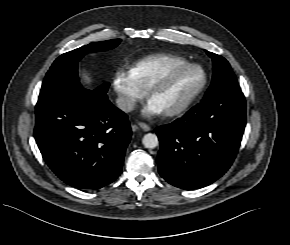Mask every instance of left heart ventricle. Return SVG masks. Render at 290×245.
Wrapping results in <instances>:
<instances>
[{
	"label": "left heart ventricle",
	"mask_w": 290,
	"mask_h": 245,
	"mask_svg": "<svg viewBox=\"0 0 290 245\" xmlns=\"http://www.w3.org/2000/svg\"><path fill=\"white\" fill-rule=\"evenodd\" d=\"M202 80L203 75L199 69L184 70L158 87L150 98L155 100L164 112L171 110L182 104L200 86Z\"/></svg>",
	"instance_id": "1"
}]
</instances>
